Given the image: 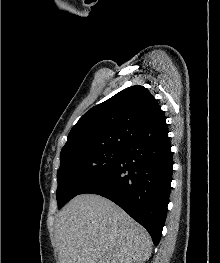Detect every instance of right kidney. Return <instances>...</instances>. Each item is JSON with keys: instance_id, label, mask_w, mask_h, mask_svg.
<instances>
[{"instance_id": "ca27d5eb", "label": "right kidney", "mask_w": 220, "mask_h": 263, "mask_svg": "<svg viewBox=\"0 0 220 263\" xmlns=\"http://www.w3.org/2000/svg\"><path fill=\"white\" fill-rule=\"evenodd\" d=\"M134 263H143V262H134Z\"/></svg>"}]
</instances>
